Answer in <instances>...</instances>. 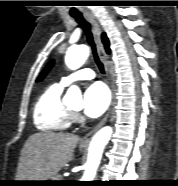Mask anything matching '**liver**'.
<instances>
[{"label":"liver","mask_w":178,"mask_h":186,"mask_svg":"<svg viewBox=\"0 0 178 186\" xmlns=\"http://www.w3.org/2000/svg\"><path fill=\"white\" fill-rule=\"evenodd\" d=\"M79 137L51 131L31 135L21 151L18 181H46L73 160Z\"/></svg>","instance_id":"obj_1"}]
</instances>
